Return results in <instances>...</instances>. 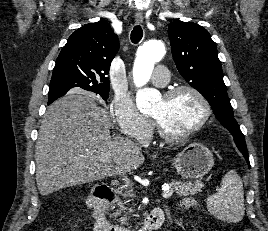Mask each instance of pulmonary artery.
Instances as JSON below:
<instances>
[{
    "label": "pulmonary artery",
    "instance_id": "1",
    "mask_svg": "<svg viewBox=\"0 0 268 231\" xmlns=\"http://www.w3.org/2000/svg\"><path fill=\"white\" fill-rule=\"evenodd\" d=\"M152 81L154 84L159 86H165L169 83V75L165 66H157V70L153 75Z\"/></svg>",
    "mask_w": 268,
    "mask_h": 231
}]
</instances>
